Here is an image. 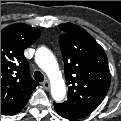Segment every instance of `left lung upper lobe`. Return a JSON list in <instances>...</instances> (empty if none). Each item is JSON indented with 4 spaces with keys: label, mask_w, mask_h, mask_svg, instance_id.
Returning <instances> with one entry per match:
<instances>
[{
    "label": "left lung upper lobe",
    "mask_w": 121,
    "mask_h": 121,
    "mask_svg": "<svg viewBox=\"0 0 121 121\" xmlns=\"http://www.w3.org/2000/svg\"><path fill=\"white\" fill-rule=\"evenodd\" d=\"M68 87L67 101L55 103L56 112L68 120H78L93 112L104 99L111 74L103 48L83 28L72 23L59 25Z\"/></svg>",
    "instance_id": "5c2ea615"
}]
</instances>
